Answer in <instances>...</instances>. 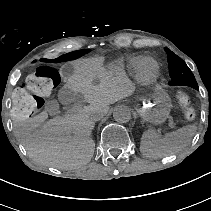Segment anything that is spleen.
I'll use <instances>...</instances> for the list:
<instances>
[{
  "label": "spleen",
  "instance_id": "1",
  "mask_svg": "<svg viewBox=\"0 0 211 211\" xmlns=\"http://www.w3.org/2000/svg\"><path fill=\"white\" fill-rule=\"evenodd\" d=\"M194 125L184 126L173 132H166L163 136L154 130L143 132L140 139V152L151 159H159L187 146L195 133Z\"/></svg>",
  "mask_w": 211,
  "mask_h": 211
}]
</instances>
